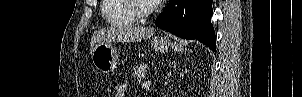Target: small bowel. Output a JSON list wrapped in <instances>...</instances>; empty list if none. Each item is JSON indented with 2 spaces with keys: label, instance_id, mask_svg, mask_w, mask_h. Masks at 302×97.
Returning <instances> with one entry per match:
<instances>
[{
  "label": "small bowel",
  "instance_id": "c3829d8e",
  "mask_svg": "<svg viewBox=\"0 0 302 97\" xmlns=\"http://www.w3.org/2000/svg\"><path fill=\"white\" fill-rule=\"evenodd\" d=\"M126 96V86L121 84L116 91V97H125Z\"/></svg>",
  "mask_w": 302,
  "mask_h": 97
}]
</instances>
